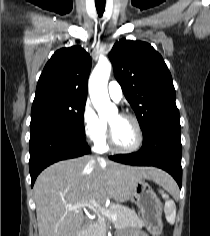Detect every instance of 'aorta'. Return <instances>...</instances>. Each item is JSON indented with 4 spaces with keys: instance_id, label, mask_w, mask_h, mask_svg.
<instances>
[{
    "instance_id": "obj_1",
    "label": "aorta",
    "mask_w": 210,
    "mask_h": 236,
    "mask_svg": "<svg viewBox=\"0 0 210 236\" xmlns=\"http://www.w3.org/2000/svg\"><path fill=\"white\" fill-rule=\"evenodd\" d=\"M112 65L107 59H100L89 78V94L93 106L100 118L104 119L117 112L115 105L111 104L107 84Z\"/></svg>"
}]
</instances>
